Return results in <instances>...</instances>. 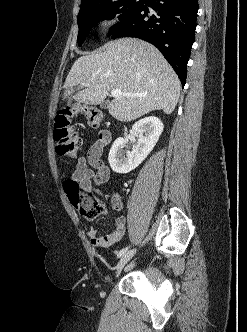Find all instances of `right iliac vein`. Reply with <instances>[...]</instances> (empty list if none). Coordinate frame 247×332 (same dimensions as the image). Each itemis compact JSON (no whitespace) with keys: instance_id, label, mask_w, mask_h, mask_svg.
Instances as JSON below:
<instances>
[{"instance_id":"obj_1","label":"right iliac vein","mask_w":247,"mask_h":332,"mask_svg":"<svg viewBox=\"0 0 247 332\" xmlns=\"http://www.w3.org/2000/svg\"><path fill=\"white\" fill-rule=\"evenodd\" d=\"M136 250H130L122 255L120 258L117 267H116V277H118L124 268V266L129 262V260L134 256Z\"/></svg>"}]
</instances>
